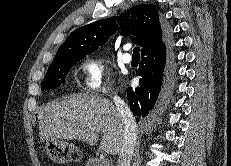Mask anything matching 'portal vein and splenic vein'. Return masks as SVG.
<instances>
[{"label":"portal vein and splenic vein","mask_w":231,"mask_h":166,"mask_svg":"<svg viewBox=\"0 0 231 166\" xmlns=\"http://www.w3.org/2000/svg\"><path fill=\"white\" fill-rule=\"evenodd\" d=\"M104 161H105L106 163H108V164H109V160H108V159H104Z\"/></svg>","instance_id":"18ae733b"}]
</instances>
